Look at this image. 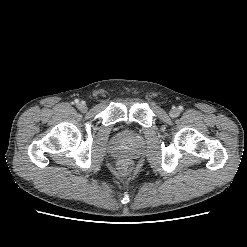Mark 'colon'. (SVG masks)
Here are the masks:
<instances>
[{
  "mask_svg": "<svg viewBox=\"0 0 247 247\" xmlns=\"http://www.w3.org/2000/svg\"><path fill=\"white\" fill-rule=\"evenodd\" d=\"M131 163L128 160H120L117 163V171L120 175H127L130 172Z\"/></svg>",
  "mask_w": 247,
  "mask_h": 247,
  "instance_id": "1",
  "label": "colon"
}]
</instances>
